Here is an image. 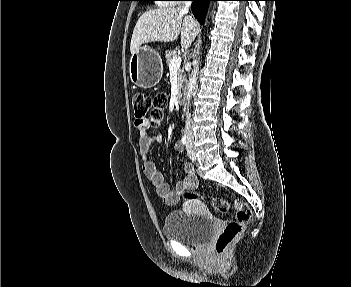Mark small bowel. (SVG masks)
<instances>
[{
  "mask_svg": "<svg viewBox=\"0 0 351 287\" xmlns=\"http://www.w3.org/2000/svg\"><path fill=\"white\" fill-rule=\"evenodd\" d=\"M149 123V120L135 121V126L138 130V146L142 168L145 175L156 187L157 193L164 203L167 205H175L184 191L193 190L197 187L198 180L195 175V170L190 163H183L185 176L176 184L175 188H171V186L165 181L163 174L150 159V147L153 143L161 142L162 135L154 132L155 129ZM175 150L178 152L183 150L182 142H177L175 144Z\"/></svg>",
  "mask_w": 351,
  "mask_h": 287,
  "instance_id": "small-bowel-1",
  "label": "small bowel"
}]
</instances>
